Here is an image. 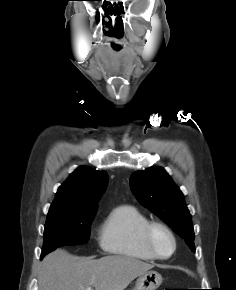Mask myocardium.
<instances>
[{
	"label": "myocardium",
	"instance_id": "1",
	"mask_svg": "<svg viewBox=\"0 0 236 290\" xmlns=\"http://www.w3.org/2000/svg\"><path fill=\"white\" fill-rule=\"evenodd\" d=\"M157 230H161L165 232L172 241V245H173L172 251L168 255H162L156 249V246L154 244V234ZM142 237H143L145 248L155 259H160V260L169 259L175 254L177 250L176 236L174 232L172 231V229L165 223H162L159 221H150L144 228Z\"/></svg>",
	"mask_w": 236,
	"mask_h": 290
}]
</instances>
